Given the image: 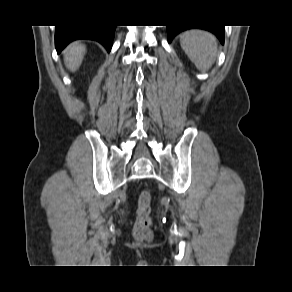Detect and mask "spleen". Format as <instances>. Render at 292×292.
Returning <instances> with one entry per match:
<instances>
[{
	"label": "spleen",
	"instance_id": "3e777b00",
	"mask_svg": "<svg viewBox=\"0 0 292 292\" xmlns=\"http://www.w3.org/2000/svg\"><path fill=\"white\" fill-rule=\"evenodd\" d=\"M180 44L200 71L209 69L217 56L216 38L203 30L192 29L182 33Z\"/></svg>",
	"mask_w": 292,
	"mask_h": 292
}]
</instances>
